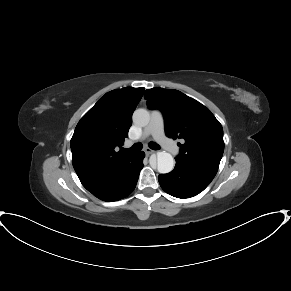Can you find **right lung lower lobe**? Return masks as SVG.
Instances as JSON below:
<instances>
[{
	"mask_svg": "<svg viewBox=\"0 0 291 291\" xmlns=\"http://www.w3.org/2000/svg\"><path fill=\"white\" fill-rule=\"evenodd\" d=\"M144 152L134 153L129 161L106 174L81 180L82 185L103 201H117L128 196L135 188L143 168Z\"/></svg>",
	"mask_w": 291,
	"mask_h": 291,
	"instance_id": "1",
	"label": "right lung lower lobe"
}]
</instances>
